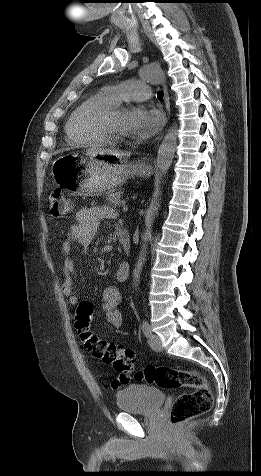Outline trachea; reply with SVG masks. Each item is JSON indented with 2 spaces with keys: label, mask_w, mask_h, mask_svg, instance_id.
<instances>
[{
  "label": "trachea",
  "mask_w": 261,
  "mask_h": 476,
  "mask_svg": "<svg viewBox=\"0 0 261 476\" xmlns=\"http://www.w3.org/2000/svg\"><path fill=\"white\" fill-rule=\"evenodd\" d=\"M157 98H158L160 101H163V92H158V93H157Z\"/></svg>",
  "instance_id": "1"
}]
</instances>
